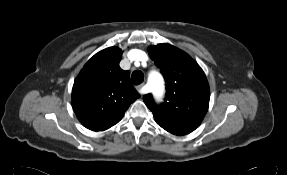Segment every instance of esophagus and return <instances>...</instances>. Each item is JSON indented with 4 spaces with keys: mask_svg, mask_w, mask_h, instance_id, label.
Segmentation results:
<instances>
[{
    "mask_svg": "<svg viewBox=\"0 0 287 175\" xmlns=\"http://www.w3.org/2000/svg\"><path fill=\"white\" fill-rule=\"evenodd\" d=\"M137 90H138V92H139L140 94L143 95V94H144V86H143V84L137 86Z\"/></svg>",
    "mask_w": 287,
    "mask_h": 175,
    "instance_id": "34e87169",
    "label": "esophagus"
}]
</instances>
